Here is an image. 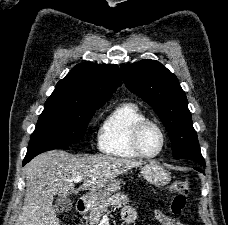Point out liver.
Returning <instances> with one entry per match:
<instances>
[{
	"mask_svg": "<svg viewBox=\"0 0 228 225\" xmlns=\"http://www.w3.org/2000/svg\"><path fill=\"white\" fill-rule=\"evenodd\" d=\"M142 163L129 159H115L109 155L74 157L66 151H47L32 159L23 171L26 193L23 209L16 225H59L53 205L55 195L68 197L79 191L96 193L124 171L140 167ZM76 177H82L81 187L74 189Z\"/></svg>",
	"mask_w": 228,
	"mask_h": 225,
	"instance_id": "1",
	"label": "liver"
}]
</instances>
